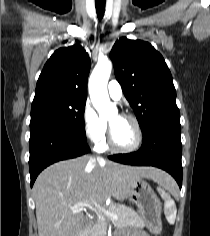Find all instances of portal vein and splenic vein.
<instances>
[{
	"mask_svg": "<svg viewBox=\"0 0 210 236\" xmlns=\"http://www.w3.org/2000/svg\"><path fill=\"white\" fill-rule=\"evenodd\" d=\"M91 207L94 209V211L99 214V215H105L113 220H116L118 219V215L117 214H113V213H110L108 212L107 210H105L102 206H100L99 204H89V203H80V204H77L73 207H71L72 210H76L78 208H83V207Z\"/></svg>",
	"mask_w": 210,
	"mask_h": 236,
	"instance_id": "1",
	"label": "portal vein and splenic vein"
}]
</instances>
